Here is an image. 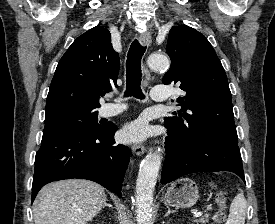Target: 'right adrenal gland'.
Wrapping results in <instances>:
<instances>
[{
    "label": "right adrenal gland",
    "mask_w": 275,
    "mask_h": 224,
    "mask_svg": "<svg viewBox=\"0 0 275 224\" xmlns=\"http://www.w3.org/2000/svg\"><path fill=\"white\" fill-rule=\"evenodd\" d=\"M103 207H109V208H113L111 204L106 203Z\"/></svg>",
    "instance_id": "right-adrenal-gland-1"
}]
</instances>
